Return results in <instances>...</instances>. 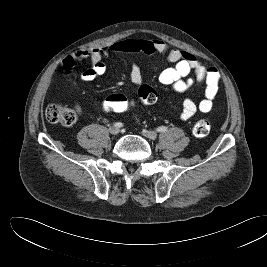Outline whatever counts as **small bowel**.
<instances>
[{
	"instance_id": "obj_1",
	"label": "small bowel",
	"mask_w": 267,
	"mask_h": 267,
	"mask_svg": "<svg viewBox=\"0 0 267 267\" xmlns=\"http://www.w3.org/2000/svg\"><path fill=\"white\" fill-rule=\"evenodd\" d=\"M114 53L145 55L160 54L168 61L175 63L173 67L162 70L158 75V81L169 86L177 93H183L194 85L204 87V97L195 102L186 98L182 104L180 119L189 120L197 111L208 113L212 110L214 99L217 95L220 73L215 67H207L194 55L176 48H170L164 41L159 39L127 38L107 46L78 50L66 56L60 63V71L68 76L72 73L75 63L80 60H88L90 66L83 70L80 78L90 82L102 76L106 72V64L103 58ZM131 82L139 85L143 81L142 71L138 64H134L130 73ZM80 111L78 105L75 106Z\"/></svg>"
}]
</instances>
